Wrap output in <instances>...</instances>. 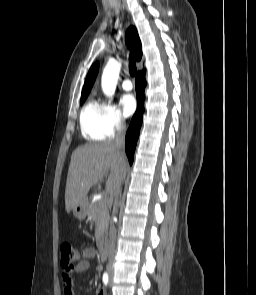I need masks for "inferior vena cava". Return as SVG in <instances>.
<instances>
[{
  "mask_svg": "<svg viewBox=\"0 0 256 295\" xmlns=\"http://www.w3.org/2000/svg\"><path fill=\"white\" fill-rule=\"evenodd\" d=\"M125 133H126V124L121 121L117 126H116V138H115V146L118 150H120L123 153L124 147H125ZM122 164L123 167H128V162L127 159H122ZM121 184L117 183L112 195L114 196V208L112 215L115 214L116 212V206L117 202L119 199V196L121 194V189H120ZM115 241H116V229L114 226L113 221L110 222V231H109V243H108V270L109 272L112 270V261H113V256L115 252Z\"/></svg>",
  "mask_w": 256,
  "mask_h": 295,
  "instance_id": "inferior-vena-cava-1",
  "label": "inferior vena cava"
}]
</instances>
